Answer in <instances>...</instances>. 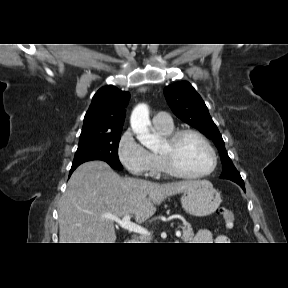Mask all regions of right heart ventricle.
Here are the masks:
<instances>
[{
	"label": "right heart ventricle",
	"instance_id": "1",
	"mask_svg": "<svg viewBox=\"0 0 288 288\" xmlns=\"http://www.w3.org/2000/svg\"><path fill=\"white\" fill-rule=\"evenodd\" d=\"M155 129L160 135H162L164 137H167L171 133L174 132V127L173 126L171 128H169V129H161V128H156V127H155ZM152 155H153L154 168H155L157 174H169L166 171V169H165V167H164V165H163V163H162V161L160 159L159 154L158 153H152Z\"/></svg>",
	"mask_w": 288,
	"mask_h": 288
}]
</instances>
